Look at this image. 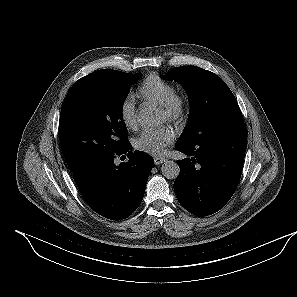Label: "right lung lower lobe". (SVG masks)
<instances>
[{
  "instance_id": "obj_1",
  "label": "right lung lower lobe",
  "mask_w": 297,
  "mask_h": 297,
  "mask_svg": "<svg viewBox=\"0 0 297 297\" xmlns=\"http://www.w3.org/2000/svg\"><path fill=\"white\" fill-rule=\"evenodd\" d=\"M130 148L129 143L113 155L90 160L73 173L87 204L96 213L111 220L125 219L138 208L154 165L147 153L132 152ZM125 154L128 162L115 165V158L125 157Z\"/></svg>"
}]
</instances>
